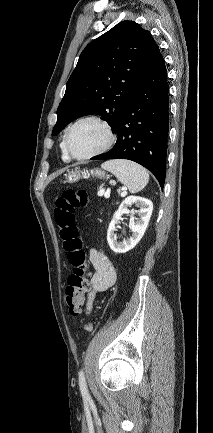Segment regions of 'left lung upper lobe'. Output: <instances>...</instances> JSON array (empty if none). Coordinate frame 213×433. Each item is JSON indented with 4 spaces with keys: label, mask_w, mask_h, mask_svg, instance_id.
Segmentation results:
<instances>
[{
    "label": "left lung upper lobe",
    "mask_w": 213,
    "mask_h": 433,
    "mask_svg": "<svg viewBox=\"0 0 213 433\" xmlns=\"http://www.w3.org/2000/svg\"><path fill=\"white\" fill-rule=\"evenodd\" d=\"M159 47L149 31L123 21L81 53L57 109L56 135L73 120L102 116L114 131L130 97L152 67Z\"/></svg>",
    "instance_id": "1"
}]
</instances>
